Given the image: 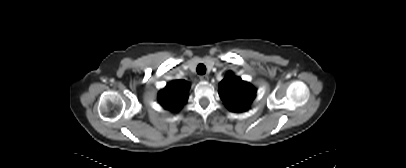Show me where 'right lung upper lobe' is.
Returning <instances> with one entry per match:
<instances>
[{
	"instance_id": "right-lung-upper-lobe-1",
	"label": "right lung upper lobe",
	"mask_w": 406,
	"mask_h": 168,
	"mask_svg": "<svg viewBox=\"0 0 406 168\" xmlns=\"http://www.w3.org/2000/svg\"><path fill=\"white\" fill-rule=\"evenodd\" d=\"M190 84L185 80H175L159 92L160 104L170 111H177L188 99Z\"/></svg>"
}]
</instances>
